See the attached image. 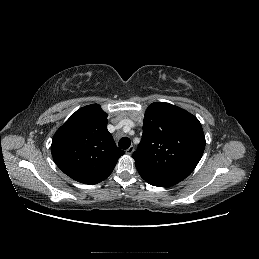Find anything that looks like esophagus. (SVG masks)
<instances>
[{
	"label": "esophagus",
	"mask_w": 259,
	"mask_h": 259,
	"mask_svg": "<svg viewBox=\"0 0 259 259\" xmlns=\"http://www.w3.org/2000/svg\"><path fill=\"white\" fill-rule=\"evenodd\" d=\"M134 152V147L130 146L127 150H126V154L131 155Z\"/></svg>",
	"instance_id": "1"
}]
</instances>
